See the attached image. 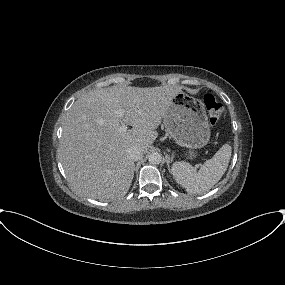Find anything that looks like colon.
Returning <instances> with one entry per match:
<instances>
[{
    "mask_svg": "<svg viewBox=\"0 0 285 285\" xmlns=\"http://www.w3.org/2000/svg\"><path fill=\"white\" fill-rule=\"evenodd\" d=\"M203 103L207 110L210 126H216L219 123L223 112L222 104L212 94H206L203 97Z\"/></svg>",
    "mask_w": 285,
    "mask_h": 285,
    "instance_id": "1",
    "label": "colon"
}]
</instances>
